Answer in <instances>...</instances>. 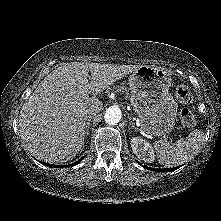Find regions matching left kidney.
I'll list each match as a JSON object with an SVG mask.
<instances>
[{
  "label": "left kidney",
  "mask_w": 221,
  "mask_h": 221,
  "mask_svg": "<svg viewBox=\"0 0 221 221\" xmlns=\"http://www.w3.org/2000/svg\"><path fill=\"white\" fill-rule=\"evenodd\" d=\"M131 147L134 154L144 162L152 163L155 160V153L150 145L145 139L134 137L131 139Z\"/></svg>",
  "instance_id": "obj_1"
}]
</instances>
